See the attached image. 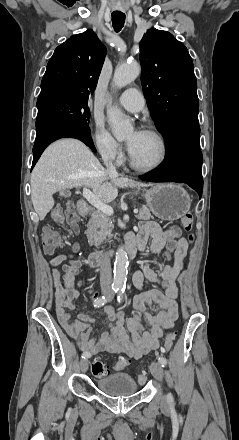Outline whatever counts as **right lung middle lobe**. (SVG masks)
Instances as JSON below:
<instances>
[{"label":"right lung middle lobe","instance_id":"obj_1","mask_svg":"<svg viewBox=\"0 0 239 440\" xmlns=\"http://www.w3.org/2000/svg\"><path fill=\"white\" fill-rule=\"evenodd\" d=\"M88 99L73 97H52L37 102L38 115L36 125L47 121H63L88 129L90 111Z\"/></svg>","mask_w":239,"mask_h":440}]
</instances>
